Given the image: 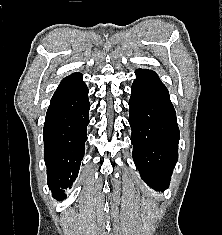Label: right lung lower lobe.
<instances>
[{"mask_svg":"<svg viewBox=\"0 0 222 235\" xmlns=\"http://www.w3.org/2000/svg\"><path fill=\"white\" fill-rule=\"evenodd\" d=\"M82 74L64 78L54 93L44 124V159L53 197L66 198L64 189L75 181L87 140L88 88Z\"/></svg>","mask_w":222,"mask_h":235,"instance_id":"1","label":"right lung lower lobe"}]
</instances>
